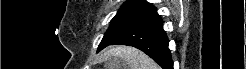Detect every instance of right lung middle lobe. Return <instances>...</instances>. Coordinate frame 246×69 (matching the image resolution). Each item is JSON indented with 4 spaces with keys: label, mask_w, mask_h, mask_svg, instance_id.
Here are the masks:
<instances>
[{
    "label": "right lung middle lobe",
    "mask_w": 246,
    "mask_h": 69,
    "mask_svg": "<svg viewBox=\"0 0 246 69\" xmlns=\"http://www.w3.org/2000/svg\"><path fill=\"white\" fill-rule=\"evenodd\" d=\"M143 21L142 16H127L118 17L111 20V24L105 33L101 43L99 44L98 51L108 46L118 36L136 26Z\"/></svg>",
    "instance_id": "obj_1"
}]
</instances>
